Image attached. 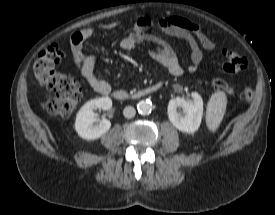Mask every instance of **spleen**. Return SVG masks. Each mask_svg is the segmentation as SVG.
<instances>
[{
	"label": "spleen",
	"mask_w": 275,
	"mask_h": 215,
	"mask_svg": "<svg viewBox=\"0 0 275 215\" xmlns=\"http://www.w3.org/2000/svg\"><path fill=\"white\" fill-rule=\"evenodd\" d=\"M227 104V98L224 92L214 93L207 107V124L212 131H215L222 121Z\"/></svg>",
	"instance_id": "1"
}]
</instances>
